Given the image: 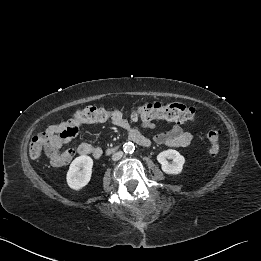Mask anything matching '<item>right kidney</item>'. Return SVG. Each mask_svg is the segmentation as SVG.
Segmentation results:
<instances>
[{
  "mask_svg": "<svg viewBox=\"0 0 261 261\" xmlns=\"http://www.w3.org/2000/svg\"><path fill=\"white\" fill-rule=\"evenodd\" d=\"M93 160L91 157L82 155L75 158L70 164L67 172V184L74 190H80L85 187L92 174Z\"/></svg>",
  "mask_w": 261,
  "mask_h": 261,
  "instance_id": "right-kidney-1",
  "label": "right kidney"
}]
</instances>
